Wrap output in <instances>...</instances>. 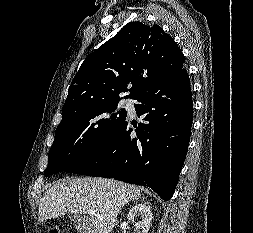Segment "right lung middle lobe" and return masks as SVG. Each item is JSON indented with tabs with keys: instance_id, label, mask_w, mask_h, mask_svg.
<instances>
[{
	"instance_id": "right-lung-middle-lobe-1",
	"label": "right lung middle lobe",
	"mask_w": 253,
	"mask_h": 233,
	"mask_svg": "<svg viewBox=\"0 0 253 233\" xmlns=\"http://www.w3.org/2000/svg\"><path fill=\"white\" fill-rule=\"evenodd\" d=\"M119 100L93 103L62 118L49 151L45 176L72 167L108 143L127 116L125 109L118 110Z\"/></svg>"
}]
</instances>
